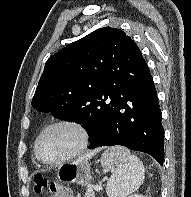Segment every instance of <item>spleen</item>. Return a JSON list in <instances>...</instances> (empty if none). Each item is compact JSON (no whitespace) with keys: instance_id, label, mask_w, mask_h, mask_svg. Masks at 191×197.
<instances>
[{"instance_id":"spleen-1","label":"spleen","mask_w":191,"mask_h":197,"mask_svg":"<svg viewBox=\"0 0 191 197\" xmlns=\"http://www.w3.org/2000/svg\"><path fill=\"white\" fill-rule=\"evenodd\" d=\"M108 151L115 160L116 169L109 180L107 193L109 197H127L138 190L144 181L143 163L122 146L112 147Z\"/></svg>"}]
</instances>
